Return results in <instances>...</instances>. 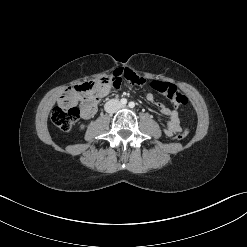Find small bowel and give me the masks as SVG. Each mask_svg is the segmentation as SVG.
<instances>
[{
  "label": "small bowel",
  "instance_id": "1",
  "mask_svg": "<svg viewBox=\"0 0 247 247\" xmlns=\"http://www.w3.org/2000/svg\"><path fill=\"white\" fill-rule=\"evenodd\" d=\"M112 75L120 78L121 80L122 79L130 80L134 77H137V75H135V73H133L130 69H127V68H125V69L119 68V69L115 70ZM117 89L118 88H114L111 85H106L98 91V96L104 97V96L108 95L110 92L115 91ZM146 99L149 102L155 101V98H154L153 94H151V93L146 94ZM157 106L160 109V113L162 115L168 117L167 125H166V128L164 130L165 134L168 137H171L174 134H176L177 132H179L181 129V122H180V116H179L178 111L170 109L161 103H157ZM96 111H97V104L96 103L92 106H87L84 102H82L81 114H82V117L84 119H89V118L93 117L95 115Z\"/></svg>",
  "mask_w": 247,
  "mask_h": 247
}]
</instances>
